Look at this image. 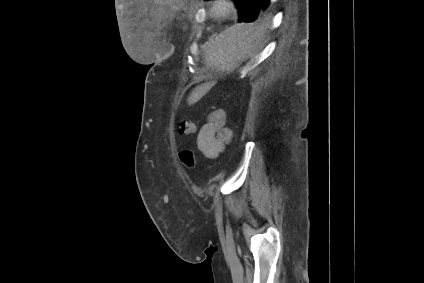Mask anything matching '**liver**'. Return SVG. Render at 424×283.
Here are the masks:
<instances>
[{"label": "liver", "mask_w": 424, "mask_h": 283, "mask_svg": "<svg viewBox=\"0 0 424 283\" xmlns=\"http://www.w3.org/2000/svg\"><path fill=\"white\" fill-rule=\"evenodd\" d=\"M251 30V28H243V27H231L227 29L222 36H220V41L224 44L226 49H229L232 45L239 43L241 39L244 37V31ZM210 58L205 59V63L209 65L211 62Z\"/></svg>", "instance_id": "liver-1"}]
</instances>
